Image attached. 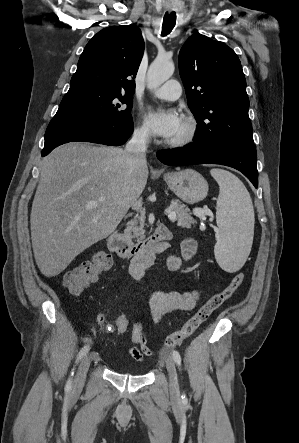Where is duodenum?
I'll use <instances>...</instances> for the list:
<instances>
[{"instance_id": "duodenum-1", "label": "duodenum", "mask_w": 299, "mask_h": 443, "mask_svg": "<svg viewBox=\"0 0 299 443\" xmlns=\"http://www.w3.org/2000/svg\"><path fill=\"white\" fill-rule=\"evenodd\" d=\"M171 238L170 231L159 226L154 233L141 242H131L121 233L114 231L108 236V247L120 258L131 260L132 263L149 267L158 255L167 249V241Z\"/></svg>"}]
</instances>
